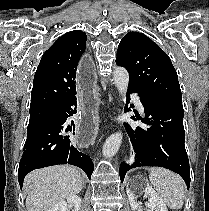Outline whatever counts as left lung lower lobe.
<instances>
[{
	"label": "left lung lower lobe",
	"mask_w": 209,
	"mask_h": 211,
	"mask_svg": "<svg viewBox=\"0 0 209 211\" xmlns=\"http://www.w3.org/2000/svg\"><path fill=\"white\" fill-rule=\"evenodd\" d=\"M130 93H138L144 106L148 128H132L125 124L136 158L133 164L122 163L120 179L131 168L140 166H159L178 173L190 186L189 160L185 150V131L183 126V106L181 102L165 101L147 97L142 91L129 86ZM132 119L135 120L134 117ZM139 119V118H138Z\"/></svg>",
	"instance_id": "left-lung-lower-lobe-1"
}]
</instances>
